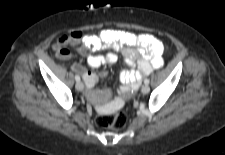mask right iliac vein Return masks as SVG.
Returning a JSON list of instances; mask_svg holds the SVG:
<instances>
[{"mask_svg": "<svg viewBox=\"0 0 225 155\" xmlns=\"http://www.w3.org/2000/svg\"><path fill=\"white\" fill-rule=\"evenodd\" d=\"M75 87L78 91H82L84 88V84L81 81H77Z\"/></svg>", "mask_w": 225, "mask_h": 155, "instance_id": "right-iliac-vein-1", "label": "right iliac vein"}]
</instances>
